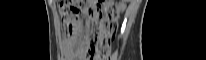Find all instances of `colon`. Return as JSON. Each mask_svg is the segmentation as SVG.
<instances>
[{
  "mask_svg": "<svg viewBox=\"0 0 206 60\" xmlns=\"http://www.w3.org/2000/svg\"><path fill=\"white\" fill-rule=\"evenodd\" d=\"M94 11H101L104 18L96 25L95 35L85 45V55L90 60H109L111 42L116 27L117 13L107 3L98 4ZM82 12L79 1H61L60 16L62 22L71 29Z\"/></svg>",
  "mask_w": 206,
  "mask_h": 60,
  "instance_id": "colon-1",
  "label": "colon"
}]
</instances>
